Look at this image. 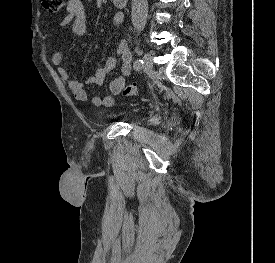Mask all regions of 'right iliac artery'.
I'll return each instance as SVG.
<instances>
[{
	"instance_id": "right-iliac-artery-1",
	"label": "right iliac artery",
	"mask_w": 275,
	"mask_h": 263,
	"mask_svg": "<svg viewBox=\"0 0 275 263\" xmlns=\"http://www.w3.org/2000/svg\"><path fill=\"white\" fill-rule=\"evenodd\" d=\"M142 65H143V61L141 59L136 60L134 63V69L139 70L141 69Z\"/></svg>"
}]
</instances>
